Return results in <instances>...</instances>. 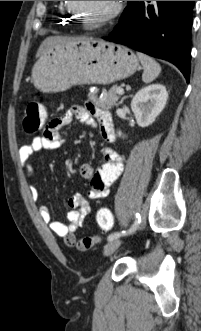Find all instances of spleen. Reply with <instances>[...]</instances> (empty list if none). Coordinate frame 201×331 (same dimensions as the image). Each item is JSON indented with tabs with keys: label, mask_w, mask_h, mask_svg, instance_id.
<instances>
[{
	"label": "spleen",
	"mask_w": 201,
	"mask_h": 331,
	"mask_svg": "<svg viewBox=\"0 0 201 331\" xmlns=\"http://www.w3.org/2000/svg\"><path fill=\"white\" fill-rule=\"evenodd\" d=\"M137 56L143 65L144 72L142 74V80L145 83L152 82L161 72V66L152 57L137 52Z\"/></svg>",
	"instance_id": "3e777b00"
}]
</instances>
